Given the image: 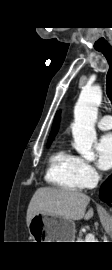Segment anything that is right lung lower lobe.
<instances>
[{"label": "right lung lower lobe", "instance_id": "right-lung-lower-lobe-1", "mask_svg": "<svg viewBox=\"0 0 112 270\" xmlns=\"http://www.w3.org/2000/svg\"><path fill=\"white\" fill-rule=\"evenodd\" d=\"M99 194L102 201L108 204L112 202V175L102 184Z\"/></svg>", "mask_w": 112, "mask_h": 270}]
</instances>
